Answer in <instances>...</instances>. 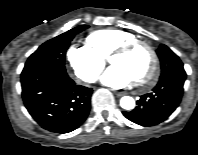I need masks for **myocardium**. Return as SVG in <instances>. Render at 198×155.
Listing matches in <instances>:
<instances>
[{
	"label": "myocardium",
	"instance_id": "myocardium-1",
	"mask_svg": "<svg viewBox=\"0 0 198 155\" xmlns=\"http://www.w3.org/2000/svg\"><path fill=\"white\" fill-rule=\"evenodd\" d=\"M138 46H144L149 51L150 56H151V68L144 77L136 80L135 82H136V85L140 87L149 88L155 83V80L159 72V57L155 48L149 42L144 41V40H139V39L126 42L120 45L119 47H117L111 53L110 58L119 54H127L133 49L137 48Z\"/></svg>",
	"mask_w": 198,
	"mask_h": 155
}]
</instances>
